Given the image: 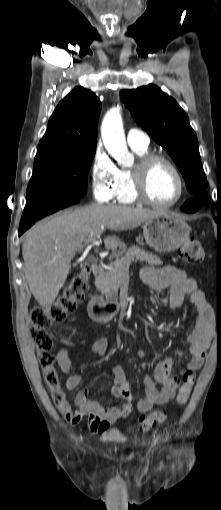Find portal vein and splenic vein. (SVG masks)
I'll list each match as a JSON object with an SVG mask.
<instances>
[{"label": "portal vein and splenic vein", "mask_w": 221, "mask_h": 510, "mask_svg": "<svg viewBox=\"0 0 221 510\" xmlns=\"http://www.w3.org/2000/svg\"><path fill=\"white\" fill-rule=\"evenodd\" d=\"M103 230H104V227L102 226L100 232L92 233L89 242H92L94 244L97 241V239L100 237Z\"/></svg>", "instance_id": "1"}]
</instances>
